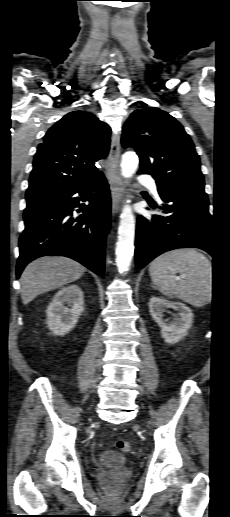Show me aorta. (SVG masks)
<instances>
[{"label":"aorta","mask_w":230,"mask_h":517,"mask_svg":"<svg viewBox=\"0 0 230 517\" xmlns=\"http://www.w3.org/2000/svg\"><path fill=\"white\" fill-rule=\"evenodd\" d=\"M138 156L134 152H126L121 160V174L124 178H130L138 167ZM130 200L126 201L121 213V220L116 243V263L119 272L129 270L134 253L135 217L130 206Z\"/></svg>","instance_id":"1"}]
</instances>
